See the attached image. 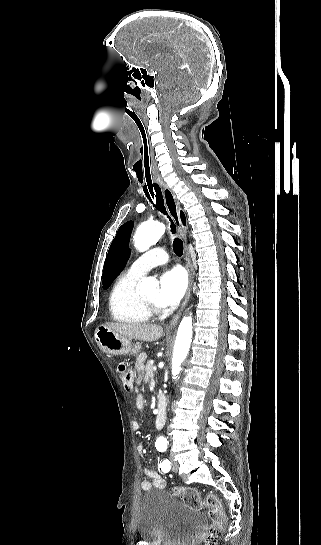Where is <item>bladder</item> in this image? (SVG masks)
I'll list each match as a JSON object with an SVG mask.
<instances>
[{"label":"bladder","mask_w":321,"mask_h":545,"mask_svg":"<svg viewBox=\"0 0 321 545\" xmlns=\"http://www.w3.org/2000/svg\"><path fill=\"white\" fill-rule=\"evenodd\" d=\"M204 525L202 513L164 489L151 488L142 497L138 532L149 545H191Z\"/></svg>","instance_id":"1"}]
</instances>
